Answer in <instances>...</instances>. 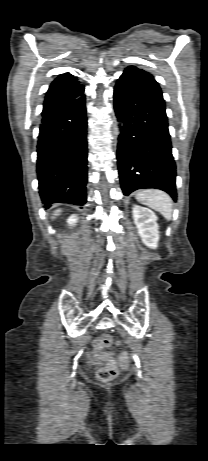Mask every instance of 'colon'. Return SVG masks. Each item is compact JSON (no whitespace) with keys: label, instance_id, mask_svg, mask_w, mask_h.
<instances>
[{"label":"colon","instance_id":"1","mask_svg":"<svg viewBox=\"0 0 208 461\" xmlns=\"http://www.w3.org/2000/svg\"><path fill=\"white\" fill-rule=\"evenodd\" d=\"M113 341L114 339L110 334H103L96 339L95 347L97 350H103L110 346ZM104 356L107 358V363L98 370L97 378L101 382H109L118 375V364L111 352L105 353Z\"/></svg>","mask_w":208,"mask_h":461}]
</instances>
